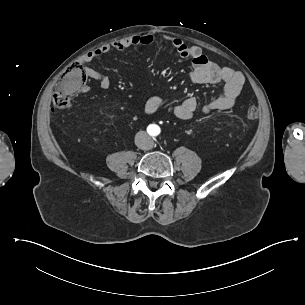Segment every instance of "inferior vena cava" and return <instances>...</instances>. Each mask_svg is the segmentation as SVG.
<instances>
[{"mask_svg": "<svg viewBox=\"0 0 305 305\" xmlns=\"http://www.w3.org/2000/svg\"><path fill=\"white\" fill-rule=\"evenodd\" d=\"M135 145L142 150H148L153 147V141L145 131H139L135 136Z\"/></svg>", "mask_w": 305, "mask_h": 305, "instance_id": "602c4592", "label": "inferior vena cava"}]
</instances>
